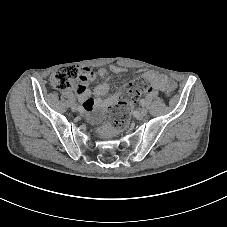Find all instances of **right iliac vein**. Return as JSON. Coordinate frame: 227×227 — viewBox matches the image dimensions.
Instances as JSON below:
<instances>
[{"label":"right iliac vein","instance_id":"63e3f726","mask_svg":"<svg viewBox=\"0 0 227 227\" xmlns=\"http://www.w3.org/2000/svg\"><path fill=\"white\" fill-rule=\"evenodd\" d=\"M71 109H72L73 111H76V110H77L76 105H75V104H73V105L71 106Z\"/></svg>","mask_w":227,"mask_h":227}]
</instances>
